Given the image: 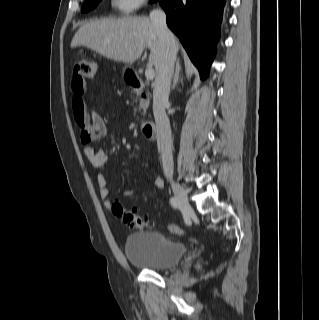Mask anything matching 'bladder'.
<instances>
[{
    "label": "bladder",
    "mask_w": 319,
    "mask_h": 320,
    "mask_svg": "<svg viewBox=\"0 0 319 320\" xmlns=\"http://www.w3.org/2000/svg\"><path fill=\"white\" fill-rule=\"evenodd\" d=\"M185 244L158 231L129 234L124 253L136 266L153 271H165L176 267L185 255Z\"/></svg>",
    "instance_id": "31cf9c89"
}]
</instances>
